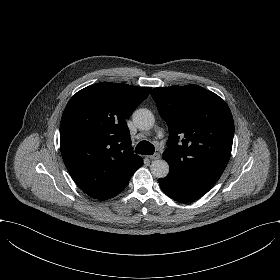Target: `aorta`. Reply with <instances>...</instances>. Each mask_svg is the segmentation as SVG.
Returning <instances> with one entry per match:
<instances>
[{"label":"aorta","instance_id":"obj_1","mask_svg":"<svg viewBox=\"0 0 280 280\" xmlns=\"http://www.w3.org/2000/svg\"><path fill=\"white\" fill-rule=\"evenodd\" d=\"M132 117L134 123H136L141 130L151 129L155 122L153 113L146 108L135 110ZM150 170L155 177L164 178L169 173V165L165 160L157 159L152 162Z\"/></svg>","mask_w":280,"mask_h":280}]
</instances>
